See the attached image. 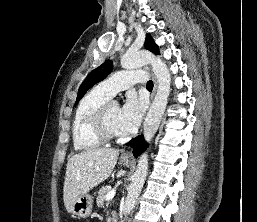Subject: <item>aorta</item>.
I'll return each instance as SVG.
<instances>
[{
  "mask_svg": "<svg viewBox=\"0 0 257 222\" xmlns=\"http://www.w3.org/2000/svg\"><path fill=\"white\" fill-rule=\"evenodd\" d=\"M150 64L152 71L157 78L158 88L155 98L150 106L144 121L143 134L147 142H150L156 134L164 115L168 97L171 91V75L165 62L152 53L144 50L128 51L121 59V65L125 69L140 68ZM148 171V154L143 153L138 161L137 169L133 175L132 183L129 186L128 194L125 199L123 213L130 214L136 204L138 195L144 185Z\"/></svg>",
  "mask_w": 257,
  "mask_h": 222,
  "instance_id": "aorta-1",
  "label": "aorta"
}]
</instances>
